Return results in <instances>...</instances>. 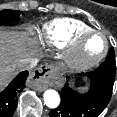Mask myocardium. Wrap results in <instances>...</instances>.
<instances>
[{"instance_id": "f54148a6", "label": "myocardium", "mask_w": 117, "mask_h": 117, "mask_svg": "<svg viewBox=\"0 0 117 117\" xmlns=\"http://www.w3.org/2000/svg\"><path fill=\"white\" fill-rule=\"evenodd\" d=\"M99 36L103 39V49L102 51L93 58H84L81 54L82 45L89 37ZM108 39L104 33L97 30H89L77 34L71 42L68 44L65 50V62L66 64L74 70L83 71L90 69L97 64H99L107 55L108 52Z\"/></svg>"}]
</instances>
